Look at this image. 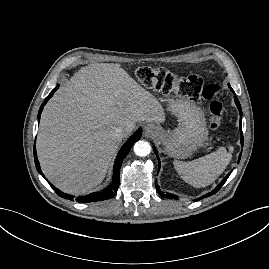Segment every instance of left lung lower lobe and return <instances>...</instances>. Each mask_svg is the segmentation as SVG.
<instances>
[{
  "instance_id": "left-lung-lower-lobe-1",
  "label": "left lung lower lobe",
  "mask_w": 269,
  "mask_h": 269,
  "mask_svg": "<svg viewBox=\"0 0 269 269\" xmlns=\"http://www.w3.org/2000/svg\"><path fill=\"white\" fill-rule=\"evenodd\" d=\"M228 86H229V88L231 89V91L234 93V91H233V89L231 88V86H230V85H228ZM234 95H235V93H234ZM234 100H235V103H236V105H237V108H238V110H239V112H240L241 145H243V134H242V127H241V122H242V109H241L239 100H238V98H237L236 96H234ZM153 150H154V152H155V154H156V156H157V158H158V160H159L157 150H156L155 148H153ZM240 158H241V153H240V155H239V160H240ZM159 167H160V161H159ZM231 172H232V171H230V172L228 173V175L221 181V183H220V184H219L213 191H211L210 193L206 194V195L203 196V197L198 198V200H199V199H202V198H204V197L211 196V195H213L214 193H216V192L222 187V185L226 182V180H227V178L229 177V175L231 174ZM156 190L158 191V193H159L162 197L172 198V199H175V198L177 199V198H178L176 195H173V194H170V193H166V194H165V193L161 192L157 184H156Z\"/></svg>"
}]
</instances>
